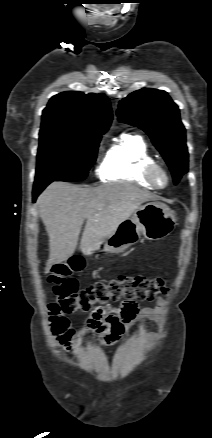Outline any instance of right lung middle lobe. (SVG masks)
<instances>
[{
    "mask_svg": "<svg viewBox=\"0 0 212 438\" xmlns=\"http://www.w3.org/2000/svg\"><path fill=\"white\" fill-rule=\"evenodd\" d=\"M35 183L80 181L95 163L101 135L40 133Z\"/></svg>",
    "mask_w": 212,
    "mask_h": 438,
    "instance_id": "dd1d6c3e",
    "label": "right lung middle lobe"
}]
</instances>
